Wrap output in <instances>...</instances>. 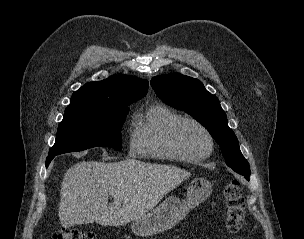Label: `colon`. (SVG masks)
I'll use <instances>...</instances> for the list:
<instances>
[{
  "label": "colon",
  "mask_w": 304,
  "mask_h": 239,
  "mask_svg": "<svg viewBox=\"0 0 304 239\" xmlns=\"http://www.w3.org/2000/svg\"><path fill=\"white\" fill-rule=\"evenodd\" d=\"M223 197L226 209L224 227L227 234L234 235L242 229L245 218V204L240 183L237 180L229 181L224 186ZM90 238H92L91 234L83 233L70 228H60L52 235V239Z\"/></svg>",
  "instance_id": "colon-1"
}]
</instances>
